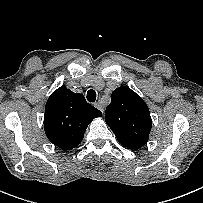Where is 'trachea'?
<instances>
[{
    "instance_id": "1",
    "label": "trachea",
    "mask_w": 203,
    "mask_h": 203,
    "mask_svg": "<svg viewBox=\"0 0 203 203\" xmlns=\"http://www.w3.org/2000/svg\"><path fill=\"white\" fill-rule=\"evenodd\" d=\"M87 100L89 102H95V100H96V92L93 89L88 90V92H87Z\"/></svg>"
}]
</instances>
